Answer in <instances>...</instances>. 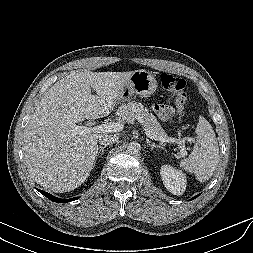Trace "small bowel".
Instances as JSON below:
<instances>
[{
    "label": "small bowel",
    "instance_id": "small-bowel-1",
    "mask_svg": "<svg viewBox=\"0 0 253 253\" xmlns=\"http://www.w3.org/2000/svg\"><path fill=\"white\" fill-rule=\"evenodd\" d=\"M154 109L163 120H167L173 114V109L168 105H156Z\"/></svg>",
    "mask_w": 253,
    "mask_h": 253
}]
</instances>
